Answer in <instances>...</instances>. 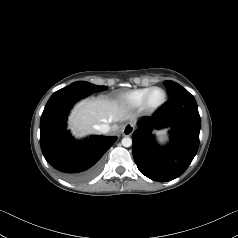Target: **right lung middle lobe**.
<instances>
[{
  "mask_svg": "<svg viewBox=\"0 0 238 238\" xmlns=\"http://www.w3.org/2000/svg\"><path fill=\"white\" fill-rule=\"evenodd\" d=\"M72 85L79 86L81 89L85 90L87 93L98 92V91L105 90L107 88L106 86H98L86 81H77L72 83Z\"/></svg>",
  "mask_w": 238,
  "mask_h": 238,
  "instance_id": "dd1d6c3e",
  "label": "right lung middle lobe"
}]
</instances>
